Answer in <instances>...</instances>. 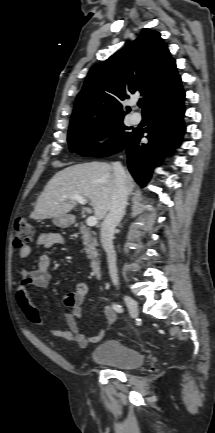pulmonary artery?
Segmentation results:
<instances>
[{"label": "pulmonary artery", "mask_w": 215, "mask_h": 433, "mask_svg": "<svg viewBox=\"0 0 215 433\" xmlns=\"http://www.w3.org/2000/svg\"><path fill=\"white\" fill-rule=\"evenodd\" d=\"M131 105L134 106L135 104L132 103ZM141 120H142V116H141L140 113H138V112H134V113L131 114V121H132L134 124H138V123H140Z\"/></svg>", "instance_id": "1"}]
</instances>
